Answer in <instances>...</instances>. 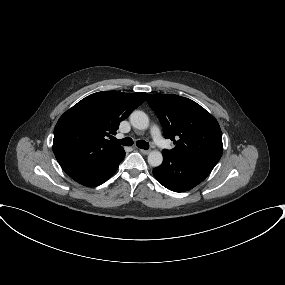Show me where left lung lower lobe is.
Instances as JSON below:
<instances>
[{
	"label": "left lung lower lobe",
	"instance_id": "left-lung-lower-lobe-1",
	"mask_svg": "<svg viewBox=\"0 0 285 285\" xmlns=\"http://www.w3.org/2000/svg\"><path fill=\"white\" fill-rule=\"evenodd\" d=\"M163 163L153 170L155 178L164 187L175 192H183L201 183L213 168L203 164L180 159L162 153Z\"/></svg>",
	"mask_w": 285,
	"mask_h": 285
}]
</instances>
